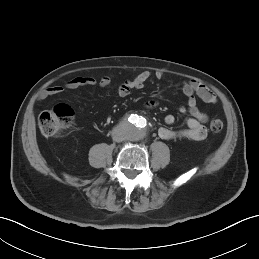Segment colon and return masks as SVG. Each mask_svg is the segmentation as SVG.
I'll use <instances>...</instances> for the list:
<instances>
[{"label": "colon", "instance_id": "colon-1", "mask_svg": "<svg viewBox=\"0 0 259 259\" xmlns=\"http://www.w3.org/2000/svg\"><path fill=\"white\" fill-rule=\"evenodd\" d=\"M39 128L46 137H58L70 128L74 122V111L66 104H58L53 109L43 112L39 117ZM224 123L220 119L210 122L212 132H221Z\"/></svg>", "mask_w": 259, "mask_h": 259}]
</instances>
